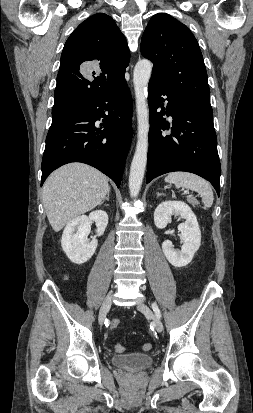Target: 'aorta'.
<instances>
[{"mask_svg":"<svg viewBox=\"0 0 253 413\" xmlns=\"http://www.w3.org/2000/svg\"><path fill=\"white\" fill-rule=\"evenodd\" d=\"M153 64L147 59L139 60L134 68L133 83L136 98V111L138 121V134L136 150L131 162L129 174L130 196H138L147 164L148 133H149V108L147 103V86L151 77Z\"/></svg>","mask_w":253,"mask_h":413,"instance_id":"1","label":"aorta"}]
</instances>
